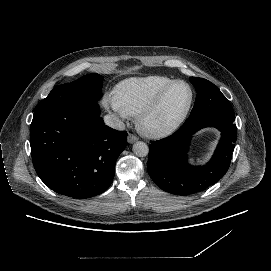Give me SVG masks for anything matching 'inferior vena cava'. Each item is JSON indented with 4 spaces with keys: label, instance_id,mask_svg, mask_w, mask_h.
I'll list each match as a JSON object with an SVG mask.
<instances>
[{
    "label": "inferior vena cava",
    "instance_id": "1",
    "mask_svg": "<svg viewBox=\"0 0 271 271\" xmlns=\"http://www.w3.org/2000/svg\"><path fill=\"white\" fill-rule=\"evenodd\" d=\"M105 124L113 129L116 130H124L125 124L116 116L114 115H106L104 117Z\"/></svg>",
    "mask_w": 271,
    "mask_h": 271
}]
</instances>
